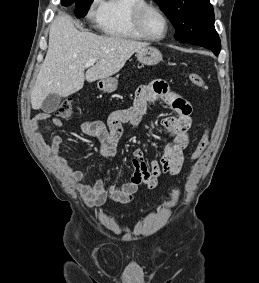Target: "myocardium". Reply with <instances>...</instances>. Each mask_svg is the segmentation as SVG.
I'll use <instances>...</instances> for the list:
<instances>
[{
  "label": "myocardium",
  "mask_w": 259,
  "mask_h": 283,
  "mask_svg": "<svg viewBox=\"0 0 259 283\" xmlns=\"http://www.w3.org/2000/svg\"><path fill=\"white\" fill-rule=\"evenodd\" d=\"M149 12H156L158 13L166 23V32L162 37H153L149 34L147 27H146V16ZM133 18L136 29L139 33L147 40L160 42L167 38L170 29H171V21L165 11L154 4L146 3L142 5H138L135 7L133 12Z\"/></svg>",
  "instance_id": "1"
}]
</instances>
